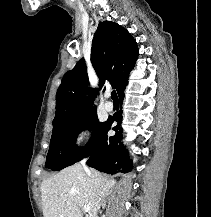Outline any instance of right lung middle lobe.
Returning <instances> with one entry per match:
<instances>
[{
  "label": "right lung middle lobe",
  "mask_w": 211,
  "mask_h": 217,
  "mask_svg": "<svg viewBox=\"0 0 211 217\" xmlns=\"http://www.w3.org/2000/svg\"><path fill=\"white\" fill-rule=\"evenodd\" d=\"M105 124L106 122L98 121L96 111H93L81 118L53 127L45 167L59 171L88 156L101 140ZM85 129L93 130V135L85 147L77 148V135Z\"/></svg>",
  "instance_id": "right-lung-middle-lobe-1"
}]
</instances>
